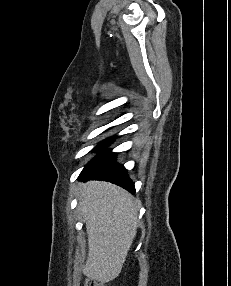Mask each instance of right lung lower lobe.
I'll return each mask as SVG.
<instances>
[{
    "mask_svg": "<svg viewBox=\"0 0 231 286\" xmlns=\"http://www.w3.org/2000/svg\"><path fill=\"white\" fill-rule=\"evenodd\" d=\"M113 140L114 137L102 142L97 146L96 150H103L112 143ZM115 157V153L111 151L100 153L86 165L79 178L110 181L134 193V183L129 179L127 170L115 162Z\"/></svg>",
    "mask_w": 231,
    "mask_h": 286,
    "instance_id": "obj_1",
    "label": "right lung lower lobe"
}]
</instances>
